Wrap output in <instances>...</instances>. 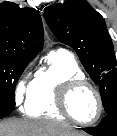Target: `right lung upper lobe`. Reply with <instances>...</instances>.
Listing matches in <instances>:
<instances>
[{
	"instance_id": "right-lung-upper-lobe-1",
	"label": "right lung upper lobe",
	"mask_w": 117,
	"mask_h": 136,
	"mask_svg": "<svg viewBox=\"0 0 117 136\" xmlns=\"http://www.w3.org/2000/svg\"><path fill=\"white\" fill-rule=\"evenodd\" d=\"M44 42L42 20L32 8L0 4V56L32 60Z\"/></svg>"
}]
</instances>
